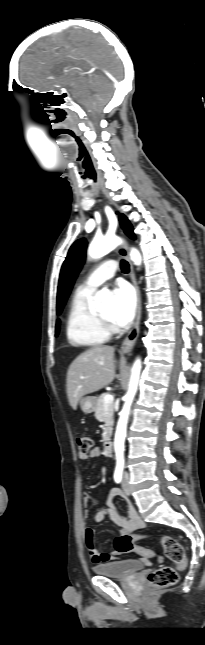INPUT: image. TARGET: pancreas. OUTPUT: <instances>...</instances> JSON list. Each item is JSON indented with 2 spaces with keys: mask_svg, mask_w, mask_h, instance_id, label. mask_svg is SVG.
<instances>
[{
  "mask_svg": "<svg viewBox=\"0 0 205 645\" xmlns=\"http://www.w3.org/2000/svg\"><path fill=\"white\" fill-rule=\"evenodd\" d=\"M106 394H101L97 399V404L95 407V417L98 421L104 422L103 427V441H109L112 435V426L114 424L113 415H114V405L113 403L107 404L105 408L104 396Z\"/></svg>",
  "mask_w": 205,
  "mask_h": 645,
  "instance_id": "obj_1",
  "label": "pancreas"
}]
</instances>
